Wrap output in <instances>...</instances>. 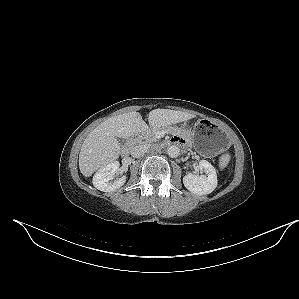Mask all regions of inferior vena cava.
<instances>
[{
	"mask_svg": "<svg viewBox=\"0 0 299 299\" xmlns=\"http://www.w3.org/2000/svg\"><path fill=\"white\" fill-rule=\"evenodd\" d=\"M149 146L147 144H138L131 150V155L134 158H138L144 155L148 151Z\"/></svg>",
	"mask_w": 299,
	"mask_h": 299,
	"instance_id": "inferior-vena-cava-1",
	"label": "inferior vena cava"
}]
</instances>
